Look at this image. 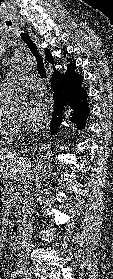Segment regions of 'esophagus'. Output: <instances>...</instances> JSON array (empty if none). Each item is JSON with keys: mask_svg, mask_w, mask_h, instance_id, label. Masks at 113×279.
I'll use <instances>...</instances> for the list:
<instances>
[{"mask_svg": "<svg viewBox=\"0 0 113 279\" xmlns=\"http://www.w3.org/2000/svg\"><path fill=\"white\" fill-rule=\"evenodd\" d=\"M30 36L32 37V39H33L34 42L36 43V45H37V47H38V49H39L41 55H42L43 58H44L45 54H44L43 49H41V47H40V40H39V38L37 37L36 34H34V33H32V32H30Z\"/></svg>", "mask_w": 113, "mask_h": 279, "instance_id": "1", "label": "esophagus"}]
</instances>
